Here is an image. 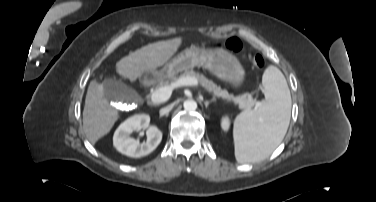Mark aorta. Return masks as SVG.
Masks as SVG:
<instances>
[{
    "mask_svg": "<svg viewBox=\"0 0 376 202\" xmlns=\"http://www.w3.org/2000/svg\"><path fill=\"white\" fill-rule=\"evenodd\" d=\"M183 107L186 111H195L197 109V103L195 100H186L183 103Z\"/></svg>",
    "mask_w": 376,
    "mask_h": 202,
    "instance_id": "762f6f07",
    "label": "aorta"
}]
</instances>
